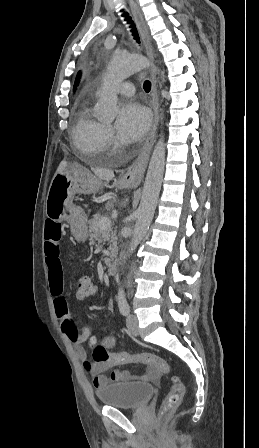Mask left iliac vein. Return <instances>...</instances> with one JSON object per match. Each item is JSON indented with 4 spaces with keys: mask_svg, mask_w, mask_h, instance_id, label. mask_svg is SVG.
Here are the masks:
<instances>
[{
    "mask_svg": "<svg viewBox=\"0 0 259 448\" xmlns=\"http://www.w3.org/2000/svg\"><path fill=\"white\" fill-rule=\"evenodd\" d=\"M126 325L129 330V332L137 336L139 333V327H138V319L137 316L134 314H128L126 318Z\"/></svg>",
    "mask_w": 259,
    "mask_h": 448,
    "instance_id": "left-iliac-vein-1",
    "label": "left iliac vein"
}]
</instances>
